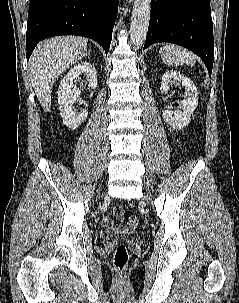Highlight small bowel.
Here are the masks:
<instances>
[{"mask_svg": "<svg viewBox=\"0 0 239 303\" xmlns=\"http://www.w3.org/2000/svg\"><path fill=\"white\" fill-rule=\"evenodd\" d=\"M102 223L108 229H115L116 228L115 223L113 222V220L110 217H104L102 219ZM137 223H138L137 218L136 217H131V219L129 221V224H128V227L130 229L135 228Z\"/></svg>", "mask_w": 239, "mask_h": 303, "instance_id": "c3829d8e", "label": "small bowel"}]
</instances>
